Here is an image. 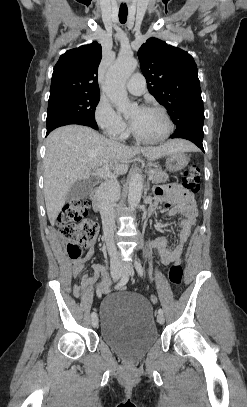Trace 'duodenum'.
<instances>
[{
	"label": "duodenum",
	"instance_id": "410a0bca",
	"mask_svg": "<svg viewBox=\"0 0 247 407\" xmlns=\"http://www.w3.org/2000/svg\"><path fill=\"white\" fill-rule=\"evenodd\" d=\"M90 201L95 212L102 214L104 211V205L101 199L100 186H96L90 193Z\"/></svg>",
	"mask_w": 247,
	"mask_h": 407
}]
</instances>
